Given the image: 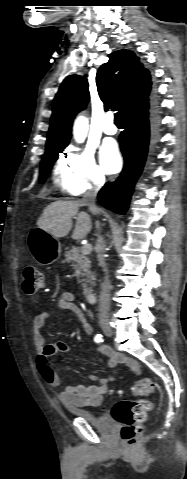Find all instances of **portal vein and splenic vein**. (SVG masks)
Here are the masks:
<instances>
[{"label":"portal vein and splenic vein","instance_id":"portal-vein-and-splenic-vein-1","mask_svg":"<svg viewBox=\"0 0 187 479\" xmlns=\"http://www.w3.org/2000/svg\"><path fill=\"white\" fill-rule=\"evenodd\" d=\"M91 251H92L91 244H86L82 247V254L84 255L90 254Z\"/></svg>","mask_w":187,"mask_h":479}]
</instances>
